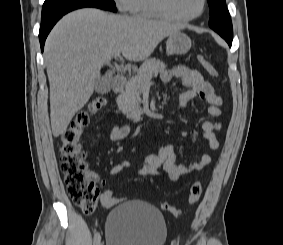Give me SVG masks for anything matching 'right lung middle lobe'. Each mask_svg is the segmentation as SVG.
<instances>
[{
    "label": "right lung middle lobe",
    "mask_w": 283,
    "mask_h": 245,
    "mask_svg": "<svg viewBox=\"0 0 283 245\" xmlns=\"http://www.w3.org/2000/svg\"><path fill=\"white\" fill-rule=\"evenodd\" d=\"M88 3L115 5V2L113 0H45L42 8V16L68 8L73 5Z\"/></svg>",
    "instance_id": "dd1d6c3e"
}]
</instances>
